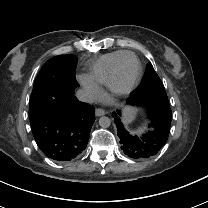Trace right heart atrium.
<instances>
[{
	"label": "right heart atrium",
	"mask_w": 208,
	"mask_h": 208,
	"mask_svg": "<svg viewBox=\"0 0 208 208\" xmlns=\"http://www.w3.org/2000/svg\"><path fill=\"white\" fill-rule=\"evenodd\" d=\"M78 79L91 99L98 100L103 96L102 89L95 84L89 76L79 75Z\"/></svg>",
	"instance_id": "obj_1"
}]
</instances>
